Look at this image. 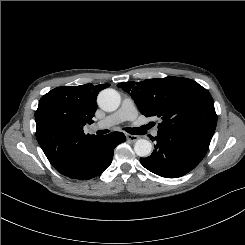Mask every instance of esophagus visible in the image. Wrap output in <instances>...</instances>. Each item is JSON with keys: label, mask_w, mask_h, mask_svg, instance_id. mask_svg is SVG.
Returning a JSON list of instances; mask_svg holds the SVG:
<instances>
[{"label": "esophagus", "mask_w": 245, "mask_h": 245, "mask_svg": "<svg viewBox=\"0 0 245 245\" xmlns=\"http://www.w3.org/2000/svg\"><path fill=\"white\" fill-rule=\"evenodd\" d=\"M126 138L130 142H135L139 137L137 135L126 134Z\"/></svg>", "instance_id": "1"}]
</instances>
